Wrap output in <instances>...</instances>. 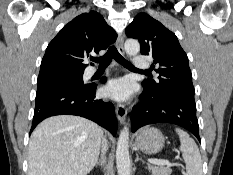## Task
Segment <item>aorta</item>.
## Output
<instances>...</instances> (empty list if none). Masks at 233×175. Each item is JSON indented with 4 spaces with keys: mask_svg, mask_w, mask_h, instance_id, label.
I'll return each instance as SVG.
<instances>
[{
    "mask_svg": "<svg viewBox=\"0 0 233 175\" xmlns=\"http://www.w3.org/2000/svg\"><path fill=\"white\" fill-rule=\"evenodd\" d=\"M125 51L129 56H135L140 51V44L137 40L128 39L124 44ZM116 166L118 175H130L129 157V128L121 130L116 148Z\"/></svg>",
    "mask_w": 233,
    "mask_h": 175,
    "instance_id": "1",
    "label": "aorta"
}]
</instances>
